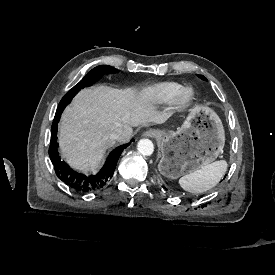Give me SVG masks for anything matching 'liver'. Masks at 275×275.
Here are the masks:
<instances>
[{
    "label": "liver",
    "instance_id": "6515ba94",
    "mask_svg": "<svg viewBox=\"0 0 275 275\" xmlns=\"http://www.w3.org/2000/svg\"><path fill=\"white\" fill-rule=\"evenodd\" d=\"M154 101L147 89L135 92L97 87L81 91L62 118L59 138L63 154L75 168H96L105 149L115 144L108 137L110 132L122 128L118 141L123 143L132 135L130 125L161 124L168 119L150 108Z\"/></svg>",
    "mask_w": 275,
    "mask_h": 275
}]
</instances>
